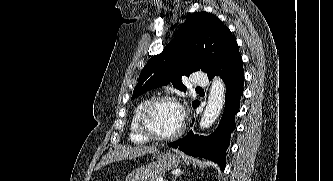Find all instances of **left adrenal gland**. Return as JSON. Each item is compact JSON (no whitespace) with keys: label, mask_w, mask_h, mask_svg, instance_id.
I'll list each match as a JSON object with an SVG mask.
<instances>
[{"label":"left adrenal gland","mask_w":333,"mask_h":181,"mask_svg":"<svg viewBox=\"0 0 333 181\" xmlns=\"http://www.w3.org/2000/svg\"><path fill=\"white\" fill-rule=\"evenodd\" d=\"M180 174H177L172 181H176L177 177L179 176Z\"/></svg>","instance_id":"1"}]
</instances>
